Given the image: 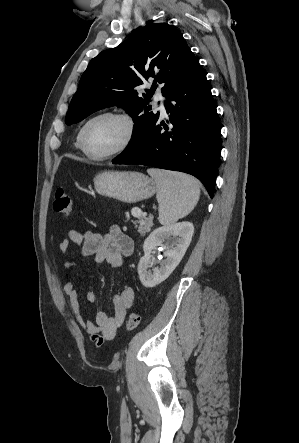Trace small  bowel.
Segmentation results:
<instances>
[{
	"label": "small bowel",
	"mask_w": 299,
	"mask_h": 443,
	"mask_svg": "<svg viewBox=\"0 0 299 443\" xmlns=\"http://www.w3.org/2000/svg\"><path fill=\"white\" fill-rule=\"evenodd\" d=\"M74 247L81 248L83 256H91L96 263H106L111 268H120L127 256L134 248L132 239L120 228L114 227L109 234H100L93 231L80 232L70 230L67 238L58 246L59 254H66ZM73 260H67L65 270L70 272L74 267ZM64 293L68 297L69 305L76 322L87 332L96 347H100L107 341H112L122 325L127 310L134 304V290L129 285H124L113 299V314L104 311L96 314L93 321L85 322L80 309L77 290L72 281L64 284ZM86 300L90 303L96 301V293L89 289L86 292Z\"/></svg>",
	"instance_id": "1"
}]
</instances>
